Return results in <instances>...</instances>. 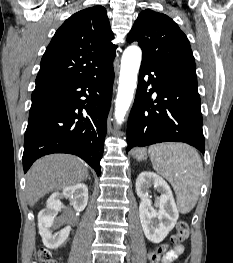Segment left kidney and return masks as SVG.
I'll list each match as a JSON object with an SVG mask.
<instances>
[{
	"label": "left kidney",
	"instance_id": "1",
	"mask_svg": "<svg viewBox=\"0 0 233 263\" xmlns=\"http://www.w3.org/2000/svg\"><path fill=\"white\" fill-rule=\"evenodd\" d=\"M153 187L161 193L157 211L152 206L149 189ZM136 192L140 197L139 215L146 238L153 243H160L174 228L179 212L167 182L153 172H142L136 180Z\"/></svg>",
	"mask_w": 233,
	"mask_h": 263
}]
</instances>
